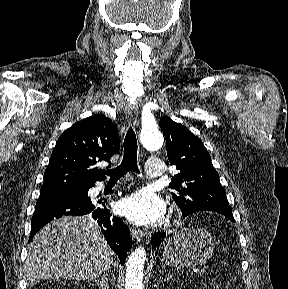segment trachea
I'll use <instances>...</instances> for the list:
<instances>
[{
    "mask_svg": "<svg viewBox=\"0 0 288 289\" xmlns=\"http://www.w3.org/2000/svg\"><path fill=\"white\" fill-rule=\"evenodd\" d=\"M128 171L139 173L137 165V139L133 129L130 127L124 139V155L122 162L114 169L106 170L104 173L111 181H117Z\"/></svg>",
    "mask_w": 288,
    "mask_h": 289,
    "instance_id": "trachea-1",
    "label": "trachea"
}]
</instances>
